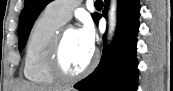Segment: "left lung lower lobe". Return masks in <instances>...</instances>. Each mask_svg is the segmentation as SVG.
I'll use <instances>...</instances> for the list:
<instances>
[{
    "label": "left lung lower lobe",
    "instance_id": "obj_1",
    "mask_svg": "<svg viewBox=\"0 0 173 91\" xmlns=\"http://www.w3.org/2000/svg\"><path fill=\"white\" fill-rule=\"evenodd\" d=\"M105 0L103 16L108 11ZM139 0H118L117 28L111 48L106 44L99 65L88 77L74 85L81 91H136L137 59L136 43L139 28ZM101 15L96 13L98 24ZM105 43V36L103 37Z\"/></svg>",
    "mask_w": 173,
    "mask_h": 91
}]
</instances>
